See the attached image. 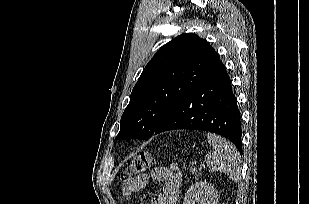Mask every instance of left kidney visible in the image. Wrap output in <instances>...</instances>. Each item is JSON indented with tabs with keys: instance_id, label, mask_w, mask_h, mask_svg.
Listing matches in <instances>:
<instances>
[{
	"instance_id": "1",
	"label": "left kidney",
	"mask_w": 309,
	"mask_h": 204,
	"mask_svg": "<svg viewBox=\"0 0 309 204\" xmlns=\"http://www.w3.org/2000/svg\"><path fill=\"white\" fill-rule=\"evenodd\" d=\"M219 195L212 184L198 181L187 191L183 204H218Z\"/></svg>"
}]
</instances>
